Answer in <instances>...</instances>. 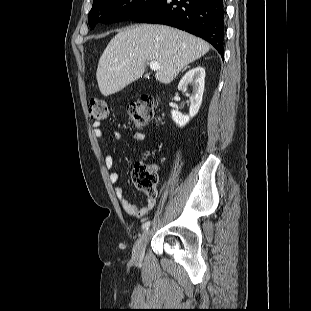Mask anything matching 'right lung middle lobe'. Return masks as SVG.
I'll return each instance as SVG.
<instances>
[{
  "mask_svg": "<svg viewBox=\"0 0 311 311\" xmlns=\"http://www.w3.org/2000/svg\"><path fill=\"white\" fill-rule=\"evenodd\" d=\"M157 0H97L93 2L88 22L93 29L97 22L113 23L127 20Z\"/></svg>",
  "mask_w": 311,
  "mask_h": 311,
  "instance_id": "dd1d6c3e",
  "label": "right lung middle lobe"
}]
</instances>
